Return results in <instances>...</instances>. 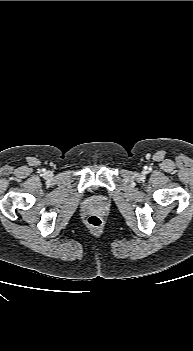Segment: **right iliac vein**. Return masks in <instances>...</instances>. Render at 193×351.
I'll return each mask as SVG.
<instances>
[{
	"label": "right iliac vein",
	"mask_w": 193,
	"mask_h": 351,
	"mask_svg": "<svg viewBox=\"0 0 193 351\" xmlns=\"http://www.w3.org/2000/svg\"><path fill=\"white\" fill-rule=\"evenodd\" d=\"M46 176H47V177H50V174H49V173H46Z\"/></svg>",
	"instance_id": "1"
}]
</instances>
